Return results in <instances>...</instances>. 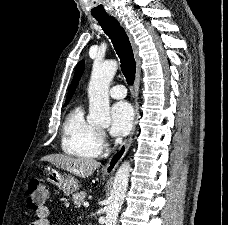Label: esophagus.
<instances>
[{
    "label": "esophagus",
    "instance_id": "1",
    "mask_svg": "<svg viewBox=\"0 0 228 225\" xmlns=\"http://www.w3.org/2000/svg\"><path fill=\"white\" fill-rule=\"evenodd\" d=\"M115 18H117L118 22L120 23V25L126 30L130 43L132 45V50H133V54H134V58L136 61V79H135V93H134V100H135V109L137 108V97H138V90H139V80H140V73H141V57L139 56V50L137 45L134 43V39L131 35V33H129L126 29V26L124 24V22L122 21V19L118 16L115 15ZM137 115V112H136ZM136 131V122H134L133 124V128L132 131L129 135L128 138H126V140H124V142L122 143V145L119 147V149L112 155V157L110 158L109 162L107 163L104 172L106 173V175H112L114 173V171L116 170V168L118 167V164L121 162V160L123 159V157L126 155V152L128 151L134 134Z\"/></svg>",
    "mask_w": 228,
    "mask_h": 225
}]
</instances>
